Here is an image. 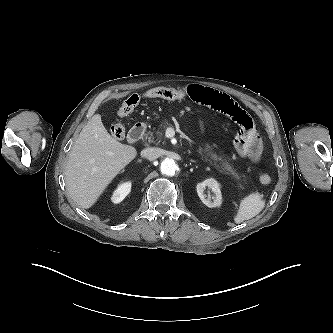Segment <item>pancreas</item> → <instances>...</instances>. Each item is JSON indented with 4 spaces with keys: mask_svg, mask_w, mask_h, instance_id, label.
<instances>
[{
    "mask_svg": "<svg viewBox=\"0 0 333 333\" xmlns=\"http://www.w3.org/2000/svg\"><path fill=\"white\" fill-rule=\"evenodd\" d=\"M170 124L168 122H164L162 123V125L160 126V129H165L169 126ZM154 134L156 135V137L154 136ZM162 136L161 131H156V133L149 131L146 134V139L148 140V142L152 143L155 142V138H157L156 140L160 139ZM160 142V140L158 141ZM198 152L204 156V159L209 161L211 164H213L220 172H223L224 174H231L233 176H235L236 178H239V176L237 175V173L235 172L233 166L228 162V160L226 158H223L219 155H217L214 151L213 148L210 145H206L205 148L200 147L198 149Z\"/></svg>",
    "mask_w": 333,
    "mask_h": 333,
    "instance_id": "obj_1",
    "label": "pancreas"
}]
</instances>
